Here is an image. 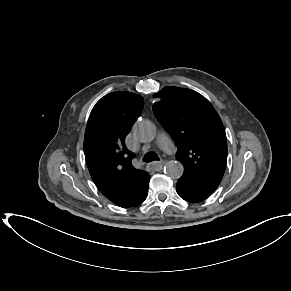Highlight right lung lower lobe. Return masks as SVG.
<instances>
[{"label":"right lung lower lobe","mask_w":291,"mask_h":291,"mask_svg":"<svg viewBox=\"0 0 291 291\" xmlns=\"http://www.w3.org/2000/svg\"><path fill=\"white\" fill-rule=\"evenodd\" d=\"M147 194H148V191H147V193L144 194L143 198L141 200H138L136 203H131L130 205L121 204V205H118V206H120V207H135V206H138L146 199Z\"/></svg>","instance_id":"right-lung-lower-lobe-1"}]
</instances>
